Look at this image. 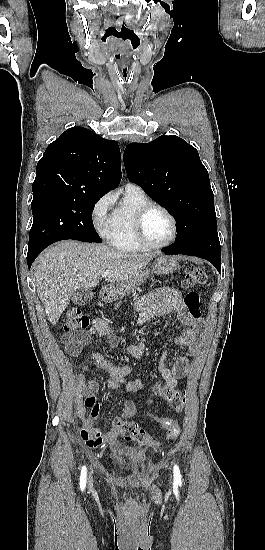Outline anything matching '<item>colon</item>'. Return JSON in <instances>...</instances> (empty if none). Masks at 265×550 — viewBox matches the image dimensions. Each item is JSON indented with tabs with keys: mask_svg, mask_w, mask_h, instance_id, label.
Here are the masks:
<instances>
[{
	"mask_svg": "<svg viewBox=\"0 0 265 550\" xmlns=\"http://www.w3.org/2000/svg\"><path fill=\"white\" fill-rule=\"evenodd\" d=\"M206 281V274L199 266H193L187 269L183 279V286L191 288L198 284H203ZM185 304L189 314L196 320L201 316V301L200 294L197 291H189L185 296ZM88 317L81 312L80 309L71 307L65 312L63 329L66 333L84 331L89 327ZM163 398L178 412H181L187 403L185 392L177 390H162ZM98 402L94 395L88 393L85 399V407L91 409V414L97 409ZM146 415L155 417L150 410H146ZM163 427L167 430V438L170 440L176 439L180 434V427L176 420L170 418H161ZM114 430L128 441H137L142 444H155L153 437L136 423L127 421L121 418L114 420Z\"/></svg>",
	"mask_w": 265,
	"mask_h": 550,
	"instance_id": "obj_1",
	"label": "colon"
}]
</instances>
